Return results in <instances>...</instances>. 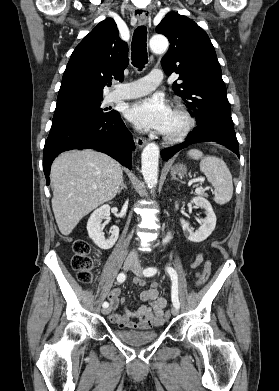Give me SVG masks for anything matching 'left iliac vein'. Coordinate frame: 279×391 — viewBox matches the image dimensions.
I'll list each match as a JSON object with an SVG mask.
<instances>
[{
	"label": "left iliac vein",
	"instance_id": "left-iliac-vein-1",
	"mask_svg": "<svg viewBox=\"0 0 279 391\" xmlns=\"http://www.w3.org/2000/svg\"><path fill=\"white\" fill-rule=\"evenodd\" d=\"M131 271H132L135 275H137V276H139V277H141V276L143 275V274H142V267H141V265H140L137 261H136L135 264L131 267ZM171 313H172L173 316H177V315L179 314L178 308L173 307V308L171 309Z\"/></svg>",
	"mask_w": 279,
	"mask_h": 391
}]
</instances>
